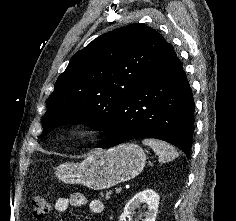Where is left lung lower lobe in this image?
I'll use <instances>...</instances> for the list:
<instances>
[{"mask_svg":"<svg viewBox=\"0 0 236 221\" xmlns=\"http://www.w3.org/2000/svg\"><path fill=\"white\" fill-rule=\"evenodd\" d=\"M194 110L192 90L180 60L166 42L118 109L100 147L151 137L175 145L189 157Z\"/></svg>","mask_w":236,"mask_h":221,"instance_id":"0a47b994","label":"left lung lower lobe"}]
</instances>
